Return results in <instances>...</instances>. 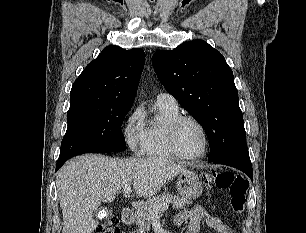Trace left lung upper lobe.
<instances>
[{"mask_svg": "<svg viewBox=\"0 0 306 233\" xmlns=\"http://www.w3.org/2000/svg\"><path fill=\"white\" fill-rule=\"evenodd\" d=\"M152 63L165 89L205 129L209 161L249 154L231 68L202 40L156 52Z\"/></svg>", "mask_w": 306, "mask_h": 233, "instance_id": "1", "label": "left lung upper lobe"}]
</instances>
